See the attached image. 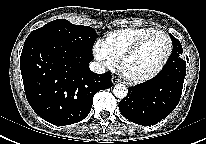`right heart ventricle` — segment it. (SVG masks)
Wrapping results in <instances>:
<instances>
[{
    "instance_id": "obj_1",
    "label": "right heart ventricle",
    "mask_w": 206,
    "mask_h": 144,
    "mask_svg": "<svg viewBox=\"0 0 206 144\" xmlns=\"http://www.w3.org/2000/svg\"><path fill=\"white\" fill-rule=\"evenodd\" d=\"M155 31V29L148 27L116 30L106 35L102 42L113 59L118 61L129 47Z\"/></svg>"
}]
</instances>
